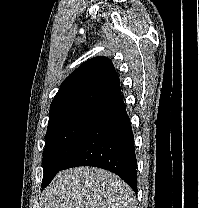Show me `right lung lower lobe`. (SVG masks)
Instances as JSON below:
<instances>
[{"mask_svg":"<svg viewBox=\"0 0 199 208\" xmlns=\"http://www.w3.org/2000/svg\"><path fill=\"white\" fill-rule=\"evenodd\" d=\"M94 166L114 172L137 193V161L123 96L103 105L60 170ZM54 177L42 182L47 186Z\"/></svg>","mask_w":199,"mask_h":208,"instance_id":"1","label":"right lung lower lobe"}]
</instances>
